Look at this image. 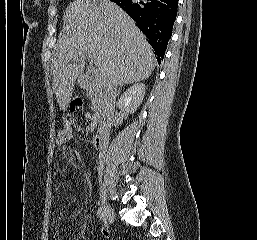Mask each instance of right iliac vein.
<instances>
[{"label": "right iliac vein", "mask_w": 257, "mask_h": 240, "mask_svg": "<svg viewBox=\"0 0 257 240\" xmlns=\"http://www.w3.org/2000/svg\"><path fill=\"white\" fill-rule=\"evenodd\" d=\"M101 208L103 210V214H104V217L106 218V220H108L109 222H113L114 218H115L114 210L111 207V205L106 201L104 196H102Z\"/></svg>", "instance_id": "63e3f726"}]
</instances>
